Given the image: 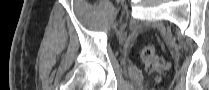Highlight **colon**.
I'll return each mask as SVG.
<instances>
[{"label":"colon","instance_id":"colon-1","mask_svg":"<svg viewBox=\"0 0 209 90\" xmlns=\"http://www.w3.org/2000/svg\"><path fill=\"white\" fill-rule=\"evenodd\" d=\"M140 58L148 72H162L165 69V60L157 54L153 45L143 47L140 52Z\"/></svg>","mask_w":209,"mask_h":90}]
</instances>
